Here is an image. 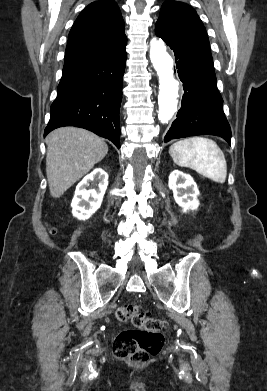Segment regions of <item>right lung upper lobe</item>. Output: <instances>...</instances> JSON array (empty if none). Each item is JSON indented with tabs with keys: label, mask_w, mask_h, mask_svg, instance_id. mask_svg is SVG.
I'll return each instance as SVG.
<instances>
[{
	"label": "right lung upper lobe",
	"mask_w": 267,
	"mask_h": 391,
	"mask_svg": "<svg viewBox=\"0 0 267 391\" xmlns=\"http://www.w3.org/2000/svg\"><path fill=\"white\" fill-rule=\"evenodd\" d=\"M124 21L113 0L89 4L71 28L63 69L126 47Z\"/></svg>",
	"instance_id": "cb5924a9"
}]
</instances>
